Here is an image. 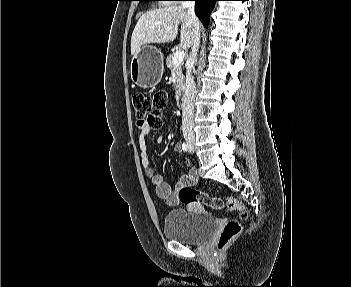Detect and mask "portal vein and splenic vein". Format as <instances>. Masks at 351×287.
Segmentation results:
<instances>
[{"instance_id": "18ae733b", "label": "portal vein and splenic vein", "mask_w": 351, "mask_h": 287, "mask_svg": "<svg viewBox=\"0 0 351 287\" xmlns=\"http://www.w3.org/2000/svg\"><path fill=\"white\" fill-rule=\"evenodd\" d=\"M185 57V53L183 50H177L173 57V65L178 66L182 63Z\"/></svg>"}]
</instances>
